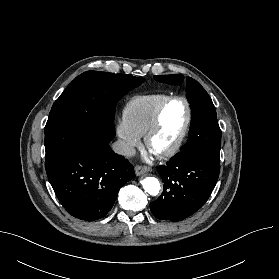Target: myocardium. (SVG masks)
Listing matches in <instances>:
<instances>
[{
    "label": "myocardium",
    "instance_id": "1",
    "mask_svg": "<svg viewBox=\"0 0 279 279\" xmlns=\"http://www.w3.org/2000/svg\"><path fill=\"white\" fill-rule=\"evenodd\" d=\"M175 100H181L185 103L186 109H187L186 121H185L184 127H183L180 135L178 136V138L166 150L159 152V153H155L160 158L171 157L180 149V147L182 146V144L189 132L190 126H191L192 107H191V103L188 100V98H186L185 96H182V95L170 96L165 101H163L162 104L159 106V108L157 109V111L155 113V116L153 118L151 125L149 126V128L147 129V131L144 135V142H145L146 147L149 150H151L150 142H151L152 137L155 135V133L160 128L162 115H163L166 107Z\"/></svg>",
    "mask_w": 279,
    "mask_h": 279
}]
</instances>
